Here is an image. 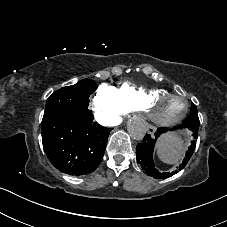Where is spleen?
Instances as JSON below:
<instances>
[{
    "label": "spleen",
    "mask_w": 227,
    "mask_h": 227,
    "mask_svg": "<svg viewBox=\"0 0 227 227\" xmlns=\"http://www.w3.org/2000/svg\"><path fill=\"white\" fill-rule=\"evenodd\" d=\"M157 155L167 164H178L184 152V140L177 132H168L160 136L156 144Z\"/></svg>",
    "instance_id": "3e777b00"
}]
</instances>
